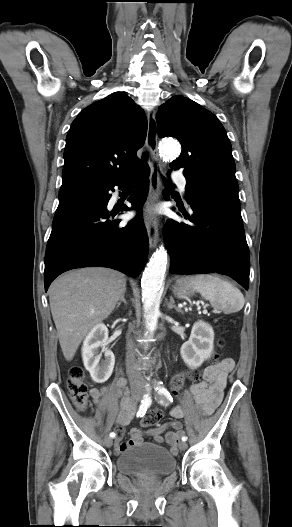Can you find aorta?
Masks as SVG:
<instances>
[{"label":"aorta","mask_w":292,"mask_h":527,"mask_svg":"<svg viewBox=\"0 0 292 527\" xmlns=\"http://www.w3.org/2000/svg\"><path fill=\"white\" fill-rule=\"evenodd\" d=\"M181 151L175 140L166 139L160 144V152L167 159H175ZM167 253L163 247L152 255L145 268L142 279V301L144 307V323L148 331L156 329L159 316L161 288L166 271Z\"/></svg>","instance_id":"762f6f07"}]
</instances>
